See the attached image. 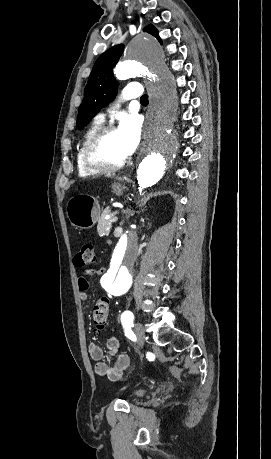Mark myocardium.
Returning <instances> with one entry per match:
<instances>
[{
	"label": "myocardium",
	"mask_w": 271,
	"mask_h": 459,
	"mask_svg": "<svg viewBox=\"0 0 271 459\" xmlns=\"http://www.w3.org/2000/svg\"><path fill=\"white\" fill-rule=\"evenodd\" d=\"M114 124L100 127L85 142L82 150V156L85 164L96 170H115L122 167L130 158V154L113 158L104 150V143L116 130Z\"/></svg>",
	"instance_id": "1"
}]
</instances>
